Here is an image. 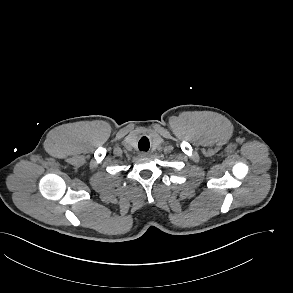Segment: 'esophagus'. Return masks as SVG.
Returning <instances> with one entry per match:
<instances>
[{
    "instance_id": "1",
    "label": "esophagus",
    "mask_w": 293,
    "mask_h": 293,
    "mask_svg": "<svg viewBox=\"0 0 293 293\" xmlns=\"http://www.w3.org/2000/svg\"><path fill=\"white\" fill-rule=\"evenodd\" d=\"M139 156L140 157H147L148 156V153H146V152H140L139 153Z\"/></svg>"
}]
</instances>
